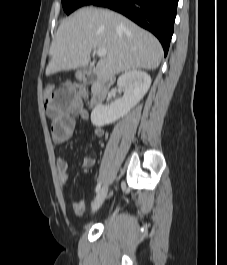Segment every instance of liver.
<instances>
[{
	"instance_id": "1",
	"label": "liver",
	"mask_w": 227,
	"mask_h": 265,
	"mask_svg": "<svg viewBox=\"0 0 227 265\" xmlns=\"http://www.w3.org/2000/svg\"><path fill=\"white\" fill-rule=\"evenodd\" d=\"M93 49L107 52L95 69V74L105 79L129 70H154L163 55L158 39L128 18L88 7L60 23L46 75L86 67Z\"/></svg>"
}]
</instances>
